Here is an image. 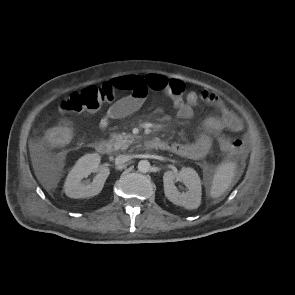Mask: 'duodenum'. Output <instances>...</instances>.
<instances>
[{
	"label": "duodenum",
	"instance_id": "duodenum-1",
	"mask_svg": "<svg viewBox=\"0 0 295 295\" xmlns=\"http://www.w3.org/2000/svg\"><path fill=\"white\" fill-rule=\"evenodd\" d=\"M145 146L148 149H163V141L155 138H150L146 140ZM94 148L96 151L102 155H108L112 151L111 143L105 140H100L94 143Z\"/></svg>",
	"mask_w": 295,
	"mask_h": 295
}]
</instances>
